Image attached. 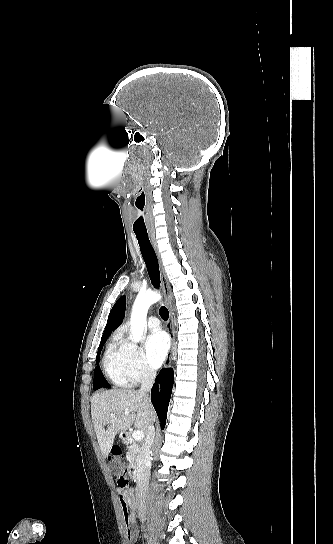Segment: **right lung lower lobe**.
I'll list each match as a JSON object with an SVG mask.
<instances>
[{
    "instance_id": "98d812e1",
    "label": "right lung lower lobe",
    "mask_w": 333,
    "mask_h": 544,
    "mask_svg": "<svg viewBox=\"0 0 333 544\" xmlns=\"http://www.w3.org/2000/svg\"><path fill=\"white\" fill-rule=\"evenodd\" d=\"M173 369L163 368L156 377L151 391V401L156 410L161 427L164 428L173 387Z\"/></svg>"
}]
</instances>
